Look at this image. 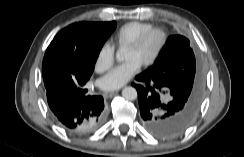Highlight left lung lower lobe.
<instances>
[{
    "instance_id": "left-lung-lower-lobe-1",
    "label": "left lung lower lobe",
    "mask_w": 244,
    "mask_h": 157,
    "mask_svg": "<svg viewBox=\"0 0 244 157\" xmlns=\"http://www.w3.org/2000/svg\"><path fill=\"white\" fill-rule=\"evenodd\" d=\"M138 84L132 83L138 92L140 114L144 127L162 138L181 135L194 121L199 105L184 96L170 91L164 99L166 87L158 78L139 74Z\"/></svg>"
}]
</instances>
